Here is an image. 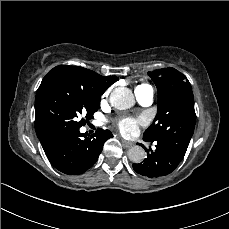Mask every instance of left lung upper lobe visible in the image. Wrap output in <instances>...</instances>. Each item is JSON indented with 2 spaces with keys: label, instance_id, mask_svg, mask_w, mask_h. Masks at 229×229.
I'll use <instances>...</instances> for the list:
<instances>
[{
  "label": "left lung upper lobe",
  "instance_id": "1",
  "mask_svg": "<svg viewBox=\"0 0 229 229\" xmlns=\"http://www.w3.org/2000/svg\"><path fill=\"white\" fill-rule=\"evenodd\" d=\"M148 75L158 90V112L143 139L167 143L185 154L196 122L190 82L174 68L159 69Z\"/></svg>",
  "mask_w": 229,
  "mask_h": 229
}]
</instances>
